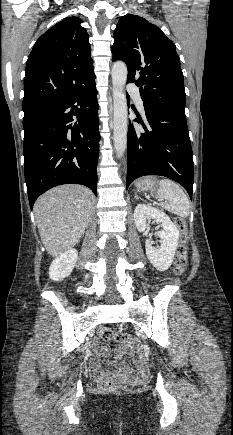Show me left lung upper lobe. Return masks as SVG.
<instances>
[{
	"mask_svg": "<svg viewBox=\"0 0 233 435\" xmlns=\"http://www.w3.org/2000/svg\"><path fill=\"white\" fill-rule=\"evenodd\" d=\"M112 61L128 67V81L140 87L143 104L185 112V90L175 44L146 19L127 14L114 31Z\"/></svg>",
	"mask_w": 233,
	"mask_h": 435,
	"instance_id": "1",
	"label": "left lung upper lobe"
}]
</instances>
